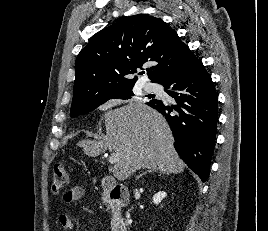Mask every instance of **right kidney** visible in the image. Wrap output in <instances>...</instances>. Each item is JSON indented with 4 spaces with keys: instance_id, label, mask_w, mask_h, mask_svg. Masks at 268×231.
I'll use <instances>...</instances> for the list:
<instances>
[{
    "instance_id": "obj_1",
    "label": "right kidney",
    "mask_w": 268,
    "mask_h": 231,
    "mask_svg": "<svg viewBox=\"0 0 268 231\" xmlns=\"http://www.w3.org/2000/svg\"><path fill=\"white\" fill-rule=\"evenodd\" d=\"M166 197V192L159 191L153 196V203L158 205Z\"/></svg>"
}]
</instances>
